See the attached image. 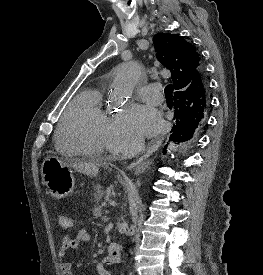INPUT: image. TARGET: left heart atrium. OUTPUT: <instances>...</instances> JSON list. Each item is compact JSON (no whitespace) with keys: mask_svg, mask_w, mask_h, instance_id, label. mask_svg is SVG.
<instances>
[{"mask_svg":"<svg viewBox=\"0 0 263 275\" xmlns=\"http://www.w3.org/2000/svg\"><path fill=\"white\" fill-rule=\"evenodd\" d=\"M131 124L140 135L153 136L160 132L163 121L159 112L149 105H137L131 112Z\"/></svg>","mask_w":263,"mask_h":275,"instance_id":"1","label":"left heart atrium"}]
</instances>
